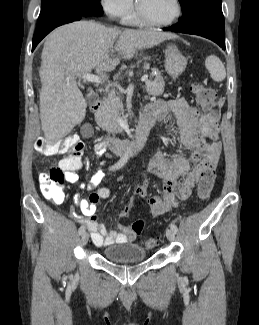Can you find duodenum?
Segmentation results:
<instances>
[{"label":"duodenum","mask_w":259,"mask_h":325,"mask_svg":"<svg viewBox=\"0 0 259 325\" xmlns=\"http://www.w3.org/2000/svg\"><path fill=\"white\" fill-rule=\"evenodd\" d=\"M101 106V100H97L91 105L90 109L92 113L96 114L101 109ZM153 124L154 119L144 112L135 138L120 140L115 137H108L106 145L110 150L119 154L131 153L140 149L147 143Z\"/></svg>","instance_id":"obj_1"}]
</instances>
